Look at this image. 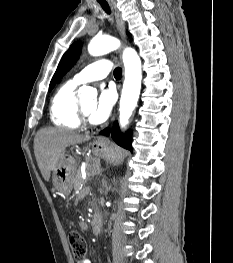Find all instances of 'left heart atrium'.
I'll return each instance as SVG.
<instances>
[{
  "instance_id": "1",
  "label": "left heart atrium",
  "mask_w": 233,
  "mask_h": 263,
  "mask_svg": "<svg viewBox=\"0 0 233 263\" xmlns=\"http://www.w3.org/2000/svg\"><path fill=\"white\" fill-rule=\"evenodd\" d=\"M115 102V91L111 87H102L98 100L89 118L93 124L103 123L110 115Z\"/></svg>"
}]
</instances>
